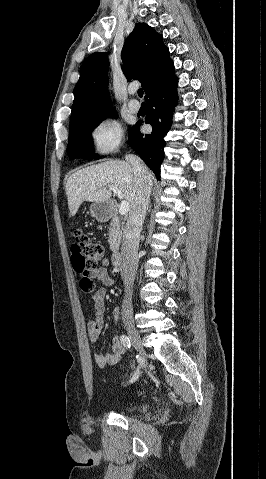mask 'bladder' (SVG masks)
<instances>
[{"label":"bladder","instance_id":"31cf9c89","mask_svg":"<svg viewBox=\"0 0 266 479\" xmlns=\"http://www.w3.org/2000/svg\"><path fill=\"white\" fill-rule=\"evenodd\" d=\"M120 408L127 412H132V411H145L147 410L148 407L144 403H138V404L123 405Z\"/></svg>","mask_w":266,"mask_h":479}]
</instances>
